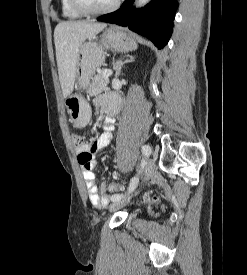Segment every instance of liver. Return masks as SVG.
I'll list each match as a JSON object with an SVG mask.
<instances>
[{"instance_id": "6515ba94", "label": "liver", "mask_w": 247, "mask_h": 275, "mask_svg": "<svg viewBox=\"0 0 247 275\" xmlns=\"http://www.w3.org/2000/svg\"><path fill=\"white\" fill-rule=\"evenodd\" d=\"M106 23L91 21H67L59 23L54 30V42L59 80L63 97L73 92L80 45L101 32Z\"/></svg>"}]
</instances>
